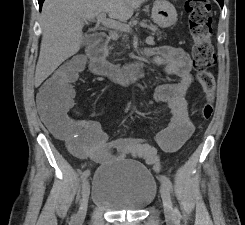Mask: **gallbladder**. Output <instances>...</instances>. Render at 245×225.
<instances>
[{
    "label": "gallbladder",
    "instance_id": "gallbladder-1",
    "mask_svg": "<svg viewBox=\"0 0 245 225\" xmlns=\"http://www.w3.org/2000/svg\"><path fill=\"white\" fill-rule=\"evenodd\" d=\"M92 41V39L88 36V35H85L82 39V42H81V45L82 46H86L88 45L90 42Z\"/></svg>",
    "mask_w": 245,
    "mask_h": 225
}]
</instances>
